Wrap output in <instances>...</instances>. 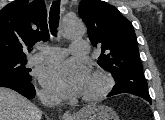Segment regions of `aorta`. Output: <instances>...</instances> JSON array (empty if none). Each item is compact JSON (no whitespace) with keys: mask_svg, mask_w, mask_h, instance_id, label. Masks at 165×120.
Segmentation results:
<instances>
[{"mask_svg":"<svg viewBox=\"0 0 165 120\" xmlns=\"http://www.w3.org/2000/svg\"><path fill=\"white\" fill-rule=\"evenodd\" d=\"M61 31L65 38H80L85 33V26L78 18H68L64 20Z\"/></svg>","mask_w":165,"mask_h":120,"instance_id":"1","label":"aorta"}]
</instances>
